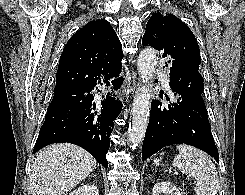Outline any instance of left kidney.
<instances>
[{
    "label": "left kidney",
    "mask_w": 245,
    "mask_h": 195,
    "mask_svg": "<svg viewBox=\"0 0 245 195\" xmlns=\"http://www.w3.org/2000/svg\"><path fill=\"white\" fill-rule=\"evenodd\" d=\"M161 193L166 195H182L179 189L164 181L157 182L152 189V195H161Z\"/></svg>",
    "instance_id": "left-kidney-1"
}]
</instances>
